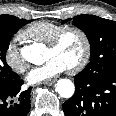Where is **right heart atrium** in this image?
I'll return each instance as SVG.
<instances>
[{
  "label": "right heart atrium",
  "instance_id": "d8ad5b80",
  "mask_svg": "<svg viewBox=\"0 0 116 116\" xmlns=\"http://www.w3.org/2000/svg\"><path fill=\"white\" fill-rule=\"evenodd\" d=\"M22 34L13 38L4 50V61L6 65L15 73L22 74L26 71L28 64L22 56L18 47L19 41L22 39Z\"/></svg>",
  "mask_w": 116,
  "mask_h": 116
}]
</instances>
